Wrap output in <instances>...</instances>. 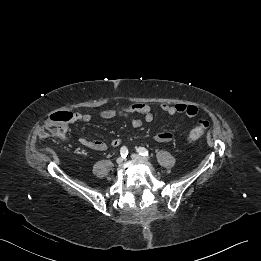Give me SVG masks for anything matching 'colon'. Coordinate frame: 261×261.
I'll list each match as a JSON object with an SVG mask.
<instances>
[{
  "label": "colon",
  "instance_id": "colon-1",
  "mask_svg": "<svg viewBox=\"0 0 261 261\" xmlns=\"http://www.w3.org/2000/svg\"><path fill=\"white\" fill-rule=\"evenodd\" d=\"M73 121V113L67 111H58L51 114L40 131L41 138H49L59 136L65 126ZM209 127V121L205 118H200L197 121V126L193 128L186 137L189 143L198 140L205 130Z\"/></svg>",
  "mask_w": 261,
  "mask_h": 261
}]
</instances>
